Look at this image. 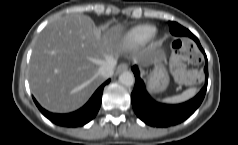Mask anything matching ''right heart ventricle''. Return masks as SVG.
I'll return each mask as SVG.
<instances>
[{
    "instance_id": "right-heart-ventricle-1",
    "label": "right heart ventricle",
    "mask_w": 238,
    "mask_h": 145,
    "mask_svg": "<svg viewBox=\"0 0 238 145\" xmlns=\"http://www.w3.org/2000/svg\"><path fill=\"white\" fill-rule=\"evenodd\" d=\"M156 34V28L151 25H141L131 29L123 38V43L135 46L146 43Z\"/></svg>"
}]
</instances>
